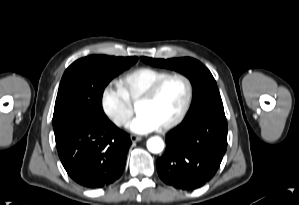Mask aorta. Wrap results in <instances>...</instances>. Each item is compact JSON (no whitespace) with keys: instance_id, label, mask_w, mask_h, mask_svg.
Returning <instances> with one entry per match:
<instances>
[{"instance_id":"obj_1","label":"aorta","mask_w":299,"mask_h":205,"mask_svg":"<svg viewBox=\"0 0 299 205\" xmlns=\"http://www.w3.org/2000/svg\"><path fill=\"white\" fill-rule=\"evenodd\" d=\"M147 148L151 153H160L164 149V142L158 136L151 137L147 141Z\"/></svg>"}]
</instances>
